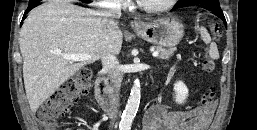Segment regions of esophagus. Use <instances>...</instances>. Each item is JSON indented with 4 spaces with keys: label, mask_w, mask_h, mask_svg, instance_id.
I'll return each instance as SVG.
<instances>
[{
    "label": "esophagus",
    "mask_w": 257,
    "mask_h": 130,
    "mask_svg": "<svg viewBox=\"0 0 257 130\" xmlns=\"http://www.w3.org/2000/svg\"><path fill=\"white\" fill-rule=\"evenodd\" d=\"M143 21L140 19V18H137V17H135L132 21H131V23H130V25H131V27L132 28H140V27H142L143 26Z\"/></svg>",
    "instance_id": "obj_1"
}]
</instances>
